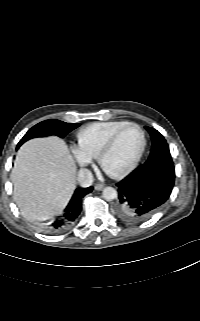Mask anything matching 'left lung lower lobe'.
Segmentation results:
<instances>
[{"label": "left lung lower lobe", "mask_w": 200, "mask_h": 321, "mask_svg": "<svg viewBox=\"0 0 200 321\" xmlns=\"http://www.w3.org/2000/svg\"><path fill=\"white\" fill-rule=\"evenodd\" d=\"M175 182L173 162L144 163L117 183L119 218L140 223L157 211L169 198Z\"/></svg>", "instance_id": "1"}]
</instances>
